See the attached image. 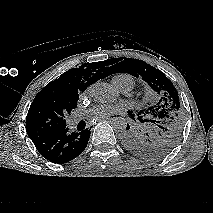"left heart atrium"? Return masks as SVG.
Here are the masks:
<instances>
[{"mask_svg":"<svg viewBox=\"0 0 213 213\" xmlns=\"http://www.w3.org/2000/svg\"><path fill=\"white\" fill-rule=\"evenodd\" d=\"M118 110L114 105H96L90 110V115L96 118L107 117Z\"/></svg>","mask_w":213,"mask_h":213,"instance_id":"left-heart-atrium-1","label":"left heart atrium"}]
</instances>
